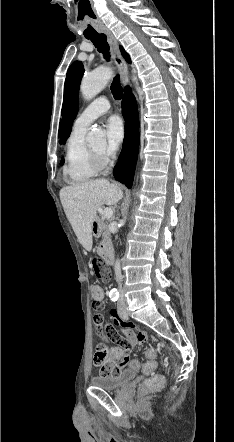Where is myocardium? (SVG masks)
Listing matches in <instances>:
<instances>
[{"label": "myocardium", "instance_id": "f54148a6", "mask_svg": "<svg viewBox=\"0 0 234 442\" xmlns=\"http://www.w3.org/2000/svg\"><path fill=\"white\" fill-rule=\"evenodd\" d=\"M89 150L92 163L98 171L105 169L109 165V159L104 155V153H99L93 148H89Z\"/></svg>", "mask_w": 234, "mask_h": 442}]
</instances>
